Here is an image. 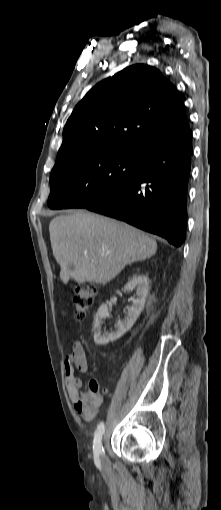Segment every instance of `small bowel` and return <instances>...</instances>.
<instances>
[{
  "mask_svg": "<svg viewBox=\"0 0 221 510\" xmlns=\"http://www.w3.org/2000/svg\"><path fill=\"white\" fill-rule=\"evenodd\" d=\"M64 369L67 391L75 411L86 421H91L97 415L98 409L90 410L85 404L81 393L84 381L75 374L76 369L82 373H87L89 370L85 348L81 341H72V350L64 360Z\"/></svg>",
  "mask_w": 221,
  "mask_h": 510,
  "instance_id": "1",
  "label": "small bowel"
}]
</instances>
